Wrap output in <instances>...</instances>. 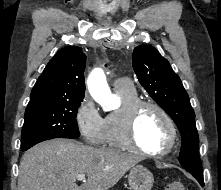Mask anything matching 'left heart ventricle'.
<instances>
[{"label": "left heart ventricle", "mask_w": 221, "mask_h": 190, "mask_svg": "<svg viewBox=\"0 0 221 190\" xmlns=\"http://www.w3.org/2000/svg\"><path fill=\"white\" fill-rule=\"evenodd\" d=\"M134 134L137 144L146 150H160L169 142V128L158 111L144 107L136 117Z\"/></svg>", "instance_id": "left-heart-ventricle-1"}]
</instances>
